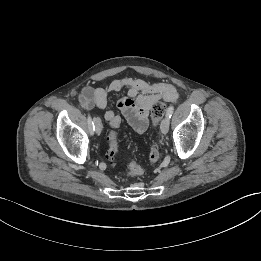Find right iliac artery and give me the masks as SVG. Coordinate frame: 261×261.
I'll use <instances>...</instances> for the list:
<instances>
[{
    "mask_svg": "<svg viewBox=\"0 0 261 261\" xmlns=\"http://www.w3.org/2000/svg\"><path fill=\"white\" fill-rule=\"evenodd\" d=\"M94 124H95L94 120L90 115H88V127H89L90 134H93V131L95 130Z\"/></svg>",
    "mask_w": 261,
    "mask_h": 261,
    "instance_id": "obj_1",
    "label": "right iliac artery"
}]
</instances>
